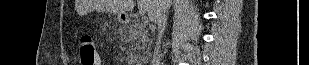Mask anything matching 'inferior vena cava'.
<instances>
[{
  "label": "inferior vena cava",
  "mask_w": 309,
  "mask_h": 65,
  "mask_svg": "<svg viewBox=\"0 0 309 65\" xmlns=\"http://www.w3.org/2000/svg\"><path fill=\"white\" fill-rule=\"evenodd\" d=\"M163 4H164L163 12L157 21L158 35H157V41H156V46L154 49L151 65H160V58H161L160 45H161V40H162L164 30L167 24V11L170 7L171 0H163Z\"/></svg>",
  "instance_id": "1"
}]
</instances>
